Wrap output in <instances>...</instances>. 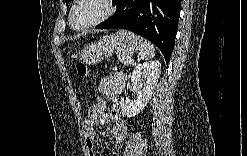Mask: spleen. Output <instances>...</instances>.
I'll list each match as a JSON object with an SVG mask.
<instances>
[{
    "label": "spleen",
    "instance_id": "1",
    "mask_svg": "<svg viewBox=\"0 0 247 156\" xmlns=\"http://www.w3.org/2000/svg\"><path fill=\"white\" fill-rule=\"evenodd\" d=\"M138 41L140 44V57L145 60L152 59L155 55L154 46L148 40L142 37H138Z\"/></svg>",
    "mask_w": 247,
    "mask_h": 156
}]
</instances>
